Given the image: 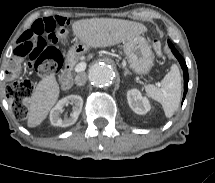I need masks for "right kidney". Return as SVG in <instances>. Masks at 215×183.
Returning a JSON list of instances; mask_svg holds the SVG:
<instances>
[{
	"mask_svg": "<svg viewBox=\"0 0 215 183\" xmlns=\"http://www.w3.org/2000/svg\"><path fill=\"white\" fill-rule=\"evenodd\" d=\"M68 104L73 105V112L70 117L61 118V113L63 111V107L67 106ZM83 106V99L79 95H70L67 96L57 102L55 107L50 112V122L53 126L59 127H68L73 125L82 110Z\"/></svg>",
	"mask_w": 215,
	"mask_h": 183,
	"instance_id": "right-kidney-1",
	"label": "right kidney"
}]
</instances>
